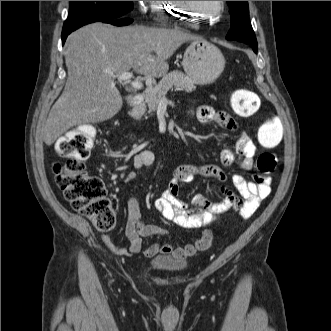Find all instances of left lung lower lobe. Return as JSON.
<instances>
[{
  "instance_id": "left-lung-lower-lobe-1",
  "label": "left lung lower lobe",
  "mask_w": 331,
  "mask_h": 331,
  "mask_svg": "<svg viewBox=\"0 0 331 331\" xmlns=\"http://www.w3.org/2000/svg\"><path fill=\"white\" fill-rule=\"evenodd\" d=\"M252 48L254 52H257V43L256 44H249Z\"/></svg>"
}]
</instances>
